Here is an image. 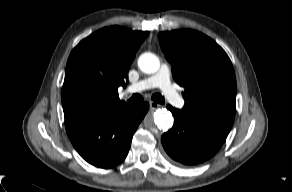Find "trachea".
Here are the masks:
<instances>
[{
	"label": "trachea",
	"mask_w": 292,
	"mask_h": 192,
	"mask_svg": "<svg viewBox=\"0 0 292 192\" xmlns=\"http://www.w3.org/2000/svg\"><path fill=\"white\" fill-rule=\"evenodd\" d=\"M151 99L157 103H164V97L161 94L155 93L152 95ZM143 101V97L140 94H133L128 100L129 103H139Z\"/></svg>",
	"instance_id": "1"
}]
</instances>
